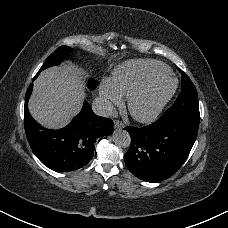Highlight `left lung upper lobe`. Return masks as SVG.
Segmentation results:
<instances>
[{"label":"left lung upper lobe","instance_id":"5c2ea615","mask_svg":"<svg viewBox=\"0 0 228 228\" xmlns=\"http://www.w3.org/2000/svg\"><path fill=\"white\" fill-rule=\"evenodd\" d=\"M182 91L175 103L159 118L162 122H193L199 124L197 91L189 77L181 71Z\"/></svg>","mask_w":228,"mask_h":228}]
</instances>
